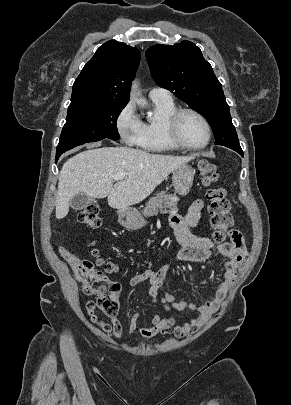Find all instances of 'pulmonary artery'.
<instances>
[{
	"label": "pulmonary artery",
	"mask_w": 291,
	"mask_h": 405,
	"mask_svg": "<svg viewBox=\"0 0 291 405\" xmlns=\"http://www.w3.org/2000/svg\"><path fill=\"white\" fill-rule=\"evenodd\" d=\"M149 96L152 100H172L171 93L161 87H154L150 90Z\"/></svg>",
	"instance_id": "e3ab8cb5"
}]
</instances>
